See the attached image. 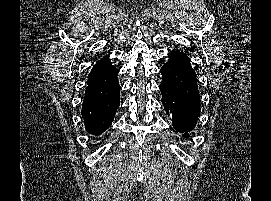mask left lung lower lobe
<instances>
[{"mask_svg": "<svg viewBox=\"0 0 271 201\" xmlns=\"http://www.w3.org/2000/svg\"><path fill=\"white\" fill-rule=\"evenodd\" d=\"M168 62L160 72L162 103L166 113L172 116L173 127L189 137L200 115V96L197 77L189 57L178 50L168 53Z\"/></svg>", "mask_w": 271, "mask_h": 201, "instance_id": "obj_1", "label": "left lung lower lobe"}]
</instances>
